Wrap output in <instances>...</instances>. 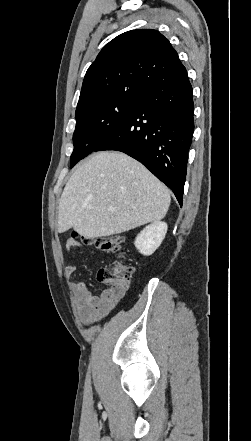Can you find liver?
I'll return each instance as SVG.
<instances>
[{"mask_svg":"<svg viewBox=\"0 0 251 441\" xmlns=\"http://www.w3.org/2000/svg\"><path fill=\"white\" fill-rule=\"evenodd\" d=\"M170 194L141 163L120 152H99L82 163L59 202L58 232L85 238L120 234L165 217Z\"/></svg>","mask_w":251,"mask_h":441,"instance_id":"6515ba94","label":"liver"}]
</instances>
